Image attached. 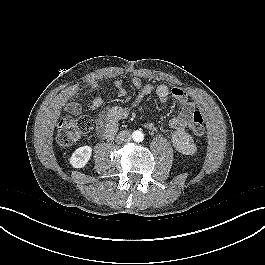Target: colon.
Segmentation results:
<instances>
[{"label":"colon","mask_w":265,"mask_h":265,"mask_svg":"<svg viewBox=\"0 0 265 265\" xmlns=\"http://www.w3.org/2000/svg\"><path fill=\"white\" fill-rule=\"evenodd\" d=\"M93 127V120L87 115L79 117H62L57 125V142L61 146H68L80 139L82 135L89 132ZM189 127L197 137L205 135V119L200 111H194Z\"/></svg>","instance_id":"1"}]
</instances>
